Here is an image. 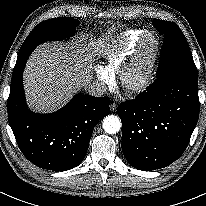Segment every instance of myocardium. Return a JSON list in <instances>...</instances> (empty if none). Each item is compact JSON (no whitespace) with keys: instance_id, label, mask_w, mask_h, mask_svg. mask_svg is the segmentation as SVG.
<instances>
[{"instance_id":"f54148a6","label":"myocardium","mask_w":206,"mask_h":206,"mask_svg":"<svg viewBox=\"0 0 206 206\" xmlns=\"http://www.w3.org/2000/svg\"><path fill=\"white\" fill-rule=\"evenodd\" d=\"M149 42H151L152 48L150 56L147 60L146 69L140 76L132 79L131 74L137 64L141 62ZM159 54V37L154 32H145L139 39L134 52L119 69L120 84L125 91L132 94L139 93L149 86L156 70Z\"/></svg>"}]
</instances>
